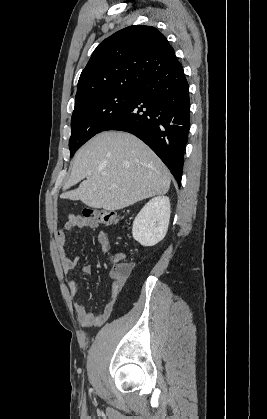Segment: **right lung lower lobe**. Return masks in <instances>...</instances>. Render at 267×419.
<instances>
[{"label": "right lung lower lobe", "mask_w": 267, "mask_h": 419, "mask_svg": "<svg viewBox=\"0 0 267 419\" xmlns=\"http://www.w3.org/2000/svg\"><path fill=\"white\" fill-rule=\"evenodd\" d=\"M189 129V85L177 60L149 76L124 111L103 131H126L140 138L180 186Z\"/></svg>", "instance_id": "98d812e1"}]
</instances>
